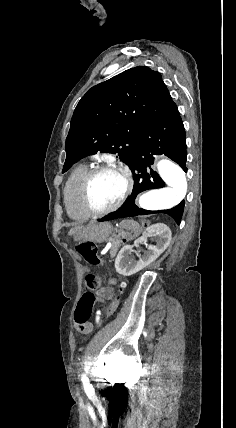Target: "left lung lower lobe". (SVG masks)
Listing matches in <instances>:
<instances>
[{
  "instance_id": "obj_1",
  "label": "left lung lower lobe",
  "mask_w": 236,
  "mask_h": 428,
  "mask_svg": "<svg viewBox=\"0 0 236 428\" xmlns=\"http://www.w3.org/2000/svg\"><path fill=\"white\" fill-rule=\"evenodd\" d=\"M137 144L139 149L135 152L130 165L134 176L133 191L121 208L99 219V221L163 213L171 216L179 224L185 205L184 200L172 209L161 211L140 209L134 202L140 192L165 186L158 173L150 167L154 160L153 154H165L187 172L185 130L174 102L160 116L150 121L143 128Z\"/></svg>"
}]
</instances>
